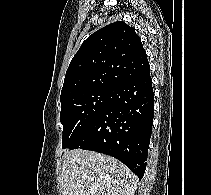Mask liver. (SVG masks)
<instances>
[{"label":"liver","mask_w":211,"mask_h":195,"mask_svg":"<svg viewBox=\"0 0 211 195\" xmlns=\"http://www.w3.org/2000/svg\"><path fill=\"white\" fill-rule=\"evenodd\" d=\"M61 195H134L136 175L117 159L88 150L63 156Z\"/></svg>","instance_id":"obj_1"}]
</instances>
